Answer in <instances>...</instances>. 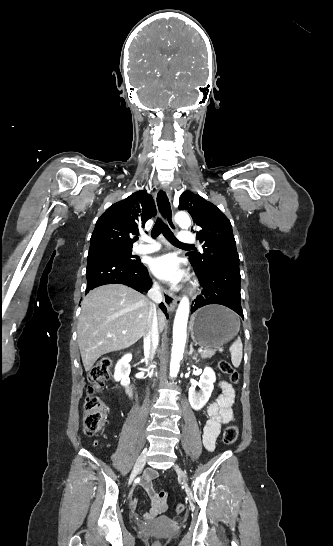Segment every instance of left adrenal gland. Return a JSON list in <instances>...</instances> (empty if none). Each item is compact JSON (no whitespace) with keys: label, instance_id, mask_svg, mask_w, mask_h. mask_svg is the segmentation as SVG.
<instances>
[{"label":"left adrenal gland","instance_id":"a2214340","mask_svg":"<svg viewBox=\"0 0 333 546\" xmlns=\"http://www.w3.org/2000/svg\"><path fill=\"white\" fill-rule=\"evenodd\" d=\"M194 353V356H193V359L196 360L197 359V355L195 353V350L193 349V343L190 344V351H189V356H191L192 354Z\"/></svg>","mask_w":333,"mask_h":546}]
</instances>
